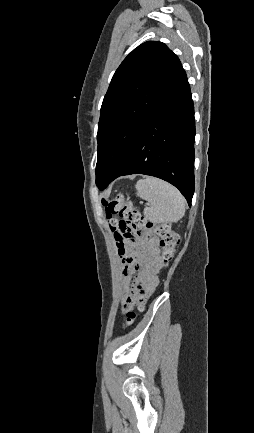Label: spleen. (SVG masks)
<instances>
[{
  "label": "spleen",
  "mask_w": 254,
  "mask_h": 433,
  "mask_svg": "<svg viewBox=\"0 0 254 433\" xmlns=\"http://www.w3.org/2000/svg\"><path fill=\"white\" fill-rule=\"evenodd\" d=\"M137 196L146 200L149 207L144 208L145 217L154 223H173L185 214V199L171 184L147 177L136 184Z\"/></svg>",
  "instance_id": "1"
}]
</instances>
